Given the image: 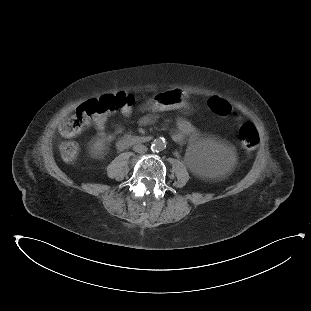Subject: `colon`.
<instances>
[{"mask_svg":"<svg viewBox=\"0 0 311 311\" xmlns=\"http://www.w3.org/2000/svg\"><path fill=\"white\" fill-rule=\"evenodd\" d=\"M136 100V97L125 95L120 91L114 92L112 95L106 94L95 98L89 101L82 110H74L64 121H61L57 127L58 133L64 137H77L91 126V122L95 118L116 115L119 111L131 112ZM205 105L224 118L240 119L242 117L240 108L223 104L217 95H210L205 100ZM239 138L245 148L249 149L258 145L260 132L255 125L246 123L240 128ZM59 152L62 159L71 164L77 161L80 148L75 141L66 140L60 143Z\"/></svg>","mask_w":311,"mask_h":311,"instance_id":"5ec220e1","label":"colon"}]
</instances>
